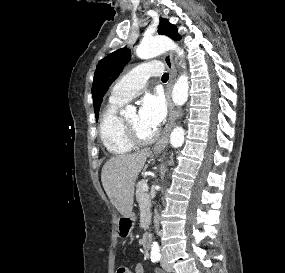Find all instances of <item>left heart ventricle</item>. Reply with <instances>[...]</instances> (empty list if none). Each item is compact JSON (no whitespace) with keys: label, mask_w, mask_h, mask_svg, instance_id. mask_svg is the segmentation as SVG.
Here are the masks:
<instances>
[{"label":"left heart ventricle","mask_w":285,"mask_h":273,"mask_svg":"<svg viewBox=\"0 0 285 273\" xmlns=\"http://www.w3.org/2000/svg\"><path fill=\"white\" fill-rule=\"evenodd\" d=\"M124 119L130 126L135 128L138 131V133L143 137H149L153 135L156 131L154 128L143 125L139 120L138 113L136 112L129 114Z\"/></svg>","instance_id":"left-heart-ventricle-1"}]
</instances>
